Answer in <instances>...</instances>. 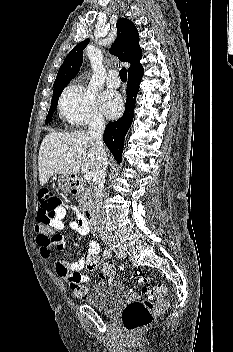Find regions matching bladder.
I'll list each match as a JSON object with an SVG mask.
<instances>
[{
  "label": "bladder",
  "instance_id": "obj_1",
  "mask_svg": "<svg viewBox=\"0 0 233 352\" xmlns=\"http://www.w3.org/2000/svg\"><path fill=\"white\" fill-rule=\"evenodd\" d=\"M126 298L124 287L117 282H99L95 284L87 297V302L100 312L112 315Z\"/></svg>",
  "mask_w": 233,
  "mask_h": 352
}]
</instances>
